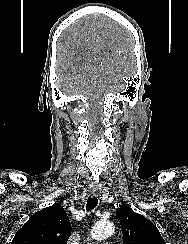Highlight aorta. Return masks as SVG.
<instances>
[{
	"label": "aorta",
	"mask_w": 188,
	"mask_h": 244,
	"mask_svg": "<svg viewBox=\"0 0 188 244\" xmlns=\"http://www.w3.org/2000/svg\"><path fill=\"white\" fill-rule=\"evenodd\" d=\"M114 233V226L109 221L97 222L91 230V236L94 239L101 240L108 238Z\"/></svg>",
	"instance_id": "aorta-1"
}]
</instances>
